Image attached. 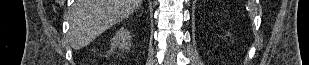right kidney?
Here are the masks:
<instances>
[{"label": "right kidney", "instance_id": "obj_1", "mask_svg": "<svg viewBox=\"0 0 309 65\" xmlns=\"http://www.w3.org/2000/svg\"><path fill=\"white\" fill-rule=\"evenodd\" d=\"M130 40V32L125 29H120L111 40V47L113 49L118 47L121 50H128L131 46Z\"/></svg>", "mask_w": 309, "mask_h": 65}]
</instances>
